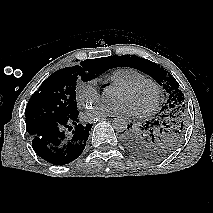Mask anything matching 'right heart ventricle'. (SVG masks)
Here are the masks:
<instances>
[{
  "mask_svg": "<svg viewBox=\"0 0 213 213\" xmlns=\"http://www.w3.org/2000/svg\"><path fill=\"white\" fill-rule=\"evenodd\" d=\"M144 77L145 76L135 68L119 67L110 72L106 80L112 85L119 87Z\"/></svg>",
  "mask_w": 213,
  "mask_h": 213,
  "instance_id": "right-heart-ventricle-1",
  "label": "right heart ventricle"
}]
</instances>
